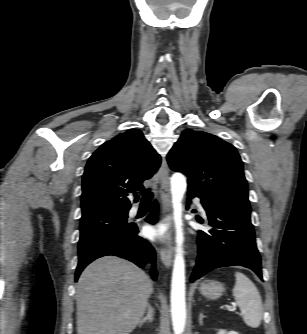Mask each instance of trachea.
<instances>
[{
	"label": "trachea",
	"instance_id": "obj_1",
	"mask_svg": "<svg viewBox=\"0 0 307 334\" xmlns=\"http://www.w3.org/2000/svg\"><path fill=\"white\" fill-rule=\"evenodd\" d=\"M142 194V203H149L153 198V193L148 189L141 192Z\"/></svg>",
	"mask_w": 307,
	"mask_h": 334
}]
</instances>
